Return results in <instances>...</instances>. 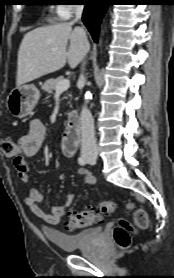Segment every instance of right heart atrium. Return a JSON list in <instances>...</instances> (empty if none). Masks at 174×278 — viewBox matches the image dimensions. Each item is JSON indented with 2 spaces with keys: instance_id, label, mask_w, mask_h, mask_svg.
<instances>
[{
  "instance_id": "d8ad5b80",
  "label": "right heart atrium",
  "mask_w": 174,
  "mask_h": 278,
  "mask_svg": "<svg viewBox=\"0 0 174 278\" xmlns=\"http://www.w3.org/2000/svg\"><path fill=\"white\" fill-rule=\"evenodd\" d=\"M78 5L76 4H60L56 6V15L60 20L69 19L73 13L78 9Z\"/></svg>"
}]
</instances>
